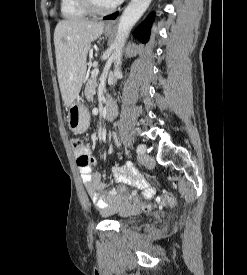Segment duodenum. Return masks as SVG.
I'll list each match as a JSON object with an SVG mask.
<instances>
[{"label": "duodenum", "instance_id": "410a0bca", "mask_svg": "<svg viewBox=\"0 0 247 275\" xmlns=\"http://www.w3.org/2000/svg\"><path fill=\"white\" fill-rule=\"evenodd\" d=\"M116 113V107L114 104L109 103L107 104L105 110H104V118L106 121H112L115 117Z\"/></svg>", "mask_w": 247, "mask_h": 275}]
</instances>
